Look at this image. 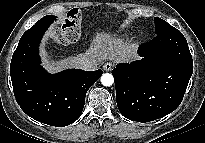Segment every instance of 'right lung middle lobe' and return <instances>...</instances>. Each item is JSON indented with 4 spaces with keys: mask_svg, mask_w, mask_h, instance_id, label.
Returning a JSON list of instances; mask_svg holds the SVG:
<instances>
[{
    "mask_svg": "<svg viewBox=\"0 0 205 143\" xmlns=\"http://www.w3.org/2000/svg\"><path fill=\"white\" fill-rule=\"evenodd\" d=\"M47 17H49V16H47ZM54 19L56 18L55 16H52Z\"/></svg>",
    "mask_w": 205,
    "mask_h": 143,
    "instance_id": "1",
    "label": "right lung middle lobe"
}]
</instances>
